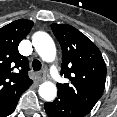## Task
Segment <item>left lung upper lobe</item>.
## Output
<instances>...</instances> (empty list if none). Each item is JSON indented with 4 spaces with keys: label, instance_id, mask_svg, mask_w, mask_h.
Instances as JSON below:
<instances>
[{
    "label": "left lung upper lobe",
    "instance_id": "obj_1",
    "mask_svg": "<svg viewBox=\"0 0 117 117\" xmlns=\"http://www.w3.org/2000/svg\"><path fill=\"white\" fill-rule=\"evenodd\" d=\"M62 48L61 75L70 83L57 84L58 95L90 112L102 96L106 65L97 46L84 34L67 24H52Z\"/></svg>",
    "mask_w": 117,
    "mask_h": 117
}]
</instances>
